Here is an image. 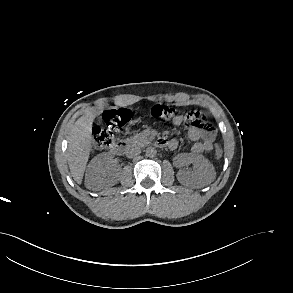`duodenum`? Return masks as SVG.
Wrapping results in <instances>:
<instances>
[{"instance_id": "410a0bca", "label": "duodenum", "mask_w": 293, "mask_h": 293, "mask_svg": "<svg viewBox=\"0 0 293 293\" xmlns=\"http://www.w3.org/2000/svg\"><path fill=\"white\" fill-rule=\"evenodd\" d=\"M158 146H162L164 145V143H162L161 141L157 142ZM131 150V147L129 145V143L126 140H119L113 147L112 151L115 154H126Z\"/></svg>"}]
</instances>
